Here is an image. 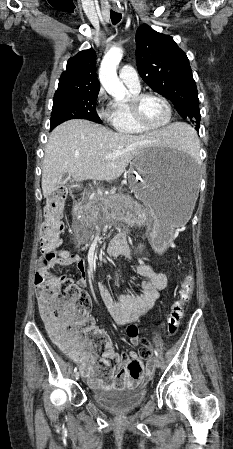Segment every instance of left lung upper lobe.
I'll return each mask as SVG.
<instances>
[{
  "instance_id": "1",
  "label": "left lung upper lobe",
  "mask_w": 233,
  "mask_h": 449,
  "mask_svg": "<svg viewBox=\"0 0 233 449\" xmlns=\"http://www.w3.org/2000/svg\"><path fill=\"white\" fill-rule=\"evenodd\" d=\"M136 62L145 83L167 97L180 116L195 123L199 131L196 83L189 60L175 41L146 24L140 26L136 32Z\"/></svg>"
}]
</instances>
